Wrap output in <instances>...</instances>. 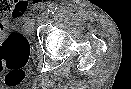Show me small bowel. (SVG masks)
<instances>
[{"instance_id":"c3829d8e","label":"small bowel","mask_w":131,"mask_h":89,"mask_svg":"<svg viewBox=\"0 0 131 89\" xmlns=\"http://www.w3.org/2000/svg\"><path fill=\"white\" fill-rule=\"evenodd\" d=\"M20 10L19 11H17ZM31 10L28 2H19L11 4L10 12H4L3 9L0 11V29L6 28L10 25L13 18H20L27 11Z\"/></svg>"}]
</instances>
